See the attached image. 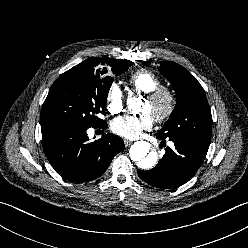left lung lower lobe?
I'll return each instance as SVG.
<instances>
[{
  "label": "left lung lower lobe",
  "mask_w": 248,
  "mask_h": 248,
  "mask_svg": "<svg viewBox=\"0 0 248 248\" xmlns=\"http://www.w3.org/2000/svg\"><path fill=\"white\" fill-rule=\"evenodd\" d=\"M158 139L165 140L158 133ZM175 149L166 148V153L151 170H137L138 176L153 187L160 189L177 188L188 182L199 169L206 157L208 148L197 147L178 139Z\"/></svg>",
  "instance_id": "left-lung-lower-lobe-1"
}]
</instances>
